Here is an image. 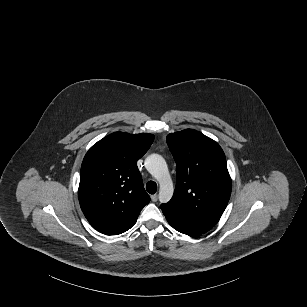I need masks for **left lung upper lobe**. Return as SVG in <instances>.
Segmentation results:
<instances>
[{"label":"left lung upper lobe","instance_id":"obj_1","mask_svg":"<svg viewBox=\"0 0 307 307\" xmlns=\"http://www.w3.org/2000/svg\"><path fill=\"white\" fill-rule=\"evenodd\" d=\"M167 144L176 161L177 182L172 199L161 209L207 232L219 221L231 195L225 154L217 142L193 129L169 134Z\"/></svg>","mask_w":307,"mask_h":307}]
</instances>
